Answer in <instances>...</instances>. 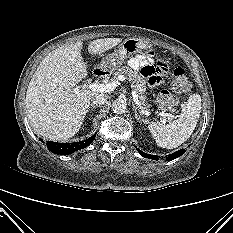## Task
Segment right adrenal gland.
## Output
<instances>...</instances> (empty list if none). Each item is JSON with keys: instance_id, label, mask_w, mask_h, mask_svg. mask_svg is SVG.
<instances>
[{"instance_id": "1", "label": "right adrenal gland", "mask_w": 233, "mask_h": 233, "mask_svg": "<svg viewBox=\"0 0 233 233\" xmlns=\"http://www.w3.org/2000/svg\"><path fill=\"white\" fill-rule=\"evenodd\" d=\"M99 106H97V105H94V104H91L89 107H88V109H87V113L91 110V111H93L94 109H96V108H98Z\"/></svg>"}]
</instances>
